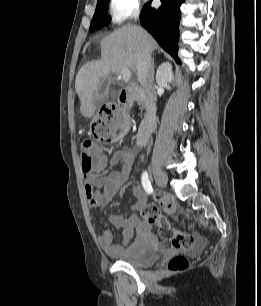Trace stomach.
Instances as JSON below:
<instances>
[{"mask_svg": "<svg viewBox=\"0 0 261 306\" xmlns=\"http://www.w3.org/2000/svg\"><path fill=\"white\" fill-rule=\"evenodd\" d=\"M129 128H130L129 120H128V118H125V120L123 122V134H125L129 130Z\"/></svg>", "mask_w": 261, "mask_h": 306, "instance_id": "0dacf381", "label": "stomach"}]
</instances>
